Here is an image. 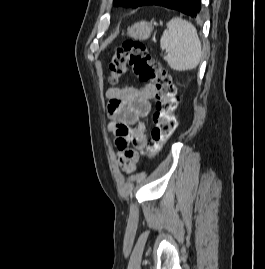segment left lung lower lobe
I'll use <instances>...</instances> for the list:
<instances>
[{
  "label": "left lung lower lobe",
  "mask_w": 265,
  "mask_h": 269,
  "mask_svg": "<svg viewBox=\"0 0 265 269\" xmlns=\"http://www.w3.org/2000/svg\"><path fill=\"white\" fill-rule=\"evenodd\" d=\"M159 5L178 10L192 18L201 13V0H144L140 6Z\"/></svg>",
  "instance_id": "left-lung-lower-lobe-1"
}]
</instances>
